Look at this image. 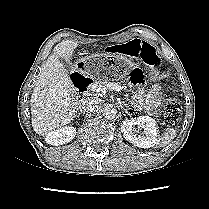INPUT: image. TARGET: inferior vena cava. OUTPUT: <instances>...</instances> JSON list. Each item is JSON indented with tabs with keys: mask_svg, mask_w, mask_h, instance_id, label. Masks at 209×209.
Segmentation results:
<instances>
[{
	"mask_svg": "<svg viewBox=\"0 0 209 209\" xmlns=\"http://www.w3.org/2000/svg\"><path fill=\"white\" fill-rule=\"evenodd\" d=\"M99 107V101L95 98L89 97L83 100L82 102V110L84 112H94Z\"/></svg>",
	"mask_w": 209,
	"mask_h": 209,
	"instance_id": "602c4592",
	"label": "inferior vena cava"
}]
</instances>
